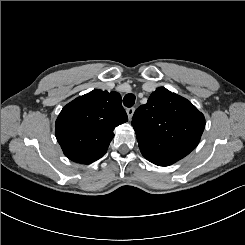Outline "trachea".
I'll list each match as a JSON object with an SVG mask.
<instances>
[{"instance_id": "obj_1", "label": "trachea", "mask_w": 245, "mask_h": 245, "mask_svg": "<svg viewBox=\"0 0 245 245\" xmlns=\"http://www.w3.org/2000/svg\"><path fill=\"white\" fill-rule=\"evenodd\" d=\"M123 103H124V106H126L127 108L132 107L135 103V96L133 94H127L123 98Z\"/></svg>"}]
</instances>
